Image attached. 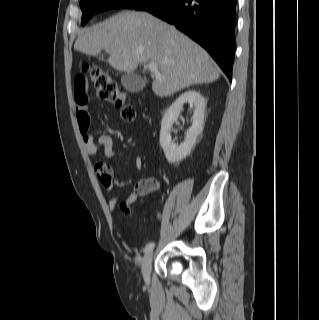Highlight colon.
<instances>
[{
    "label": "colon",
    "mask_w": 319,
    "mask_h": 320,
    "mask_svg": "<svg viewBox=\"0 0 319 320\" xmlns=\"http://www.w3.org/2000/svg\"><path fill=\"white\" fill-rule=\"evenodd\" d=\"M83 71L85 73L89 72L90 78L93 82L98 96L101 97L103 100L113 103L115 106H117L120 109L121 116L125 121H132L135 118V109L132 105L127 104L125 102L124 94L119 90L116 82L114 81L113 77L108 71L100 68H93L89 65H84ZM85 83L86 78L84 75H79L76 77V86L84 85ZM95 169L96 173L103 171L109 172L110 166L105 163H99L95 166ZM100 180H104V175L100 176ZM153 187L154 185L151 182L144 181L139 184L138 189L141 192H147L152 190ZM121 208L126 209L127 204H121Z\"/></svg>",
    "instance_id": "5ec220e1"
}]
</instances>
